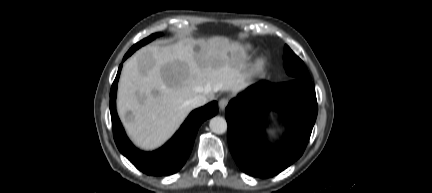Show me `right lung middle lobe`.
<instances>
[{
    "label": "right lung middle lobe",
    "instance_id": "right-lung-middle-lobe-1",
    "mask_svg": "<svg viewBox=\"0 0 432 193\" xmlns=\"http://www.w3.org/2000/svg\"><path fill=\"white\" fill-rule=\"evenodd\" d=\"M158 36H161V33L152 34L151 36H149V37L143 39L142 41L136 43L135 45H133L132 48L127 53L132 54L138 48H140L141 46L147 44L148 42L152 41L154 38H156Z\"/></svg>",
    "mask_w": 432,
    "mask_h": 193
}]
</instances>
